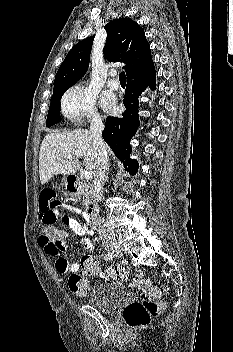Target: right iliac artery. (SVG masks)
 Here are the masks:
<instances>
[{"label": "right iliac artery", "instance_id": "82829eb1", "mask_svg": "<svg viewBox=\"0 0 233 352\" xmlns=\"http://www.w3.org/2000/svg\"><path fill=\"white\" fill-rule=\"evenodd\" d=\"M112 258L113 257H112L111 253L108 252V253L105 254V260L110 261V260H112Z\"/></svg>", "mask_w": 233, "mask_h": 352}]
</instances>
